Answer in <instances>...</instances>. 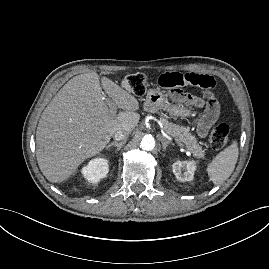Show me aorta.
<instances>
[{
  "instance_id": "1",
  "label": "aorta",
  "mask_w": 269,
  "mask_h": 269,
  "mask_svg": "<svg viewBox=\"0 0 269 269\" xmlns=\"http://www.w3.org/2000/svg\"><path fill=\"white\" fill-rule=\"evenodd\" d=\"M155 147V140L151 135H145L141 142H140V148L145 151H151Z\"/></svg>"
}]
</instances>
